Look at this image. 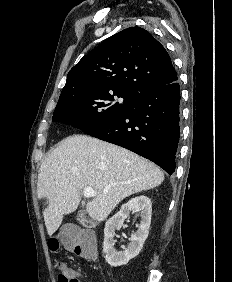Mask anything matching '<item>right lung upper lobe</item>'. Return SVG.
<instances>
[{"instance_id": "1", "label": "right lung upper lobe", "mask_w": 232, "mask_h": 282, "mask_svg": "<svg viewBox=\"0 0 232 282\" xmlns=\"http://www.w3.org/2000/svg\"><path fill=\"white\" fill-rule=\"evenodd\" d=\"M175 80L177 73L162 44L148 31L130 27L104 40L69 71L59 101L116 90L139 96Z\"/></svg>"}]
</instances>
